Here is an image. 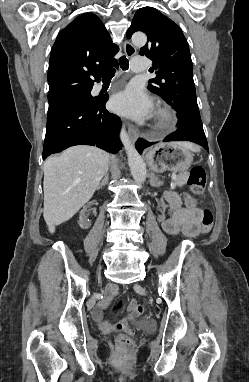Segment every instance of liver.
<instances>
[{
    "mask_svg": "<svg viewBox=\"0 0 249 382\" xmlns=\"http://www.w3.org/2000/svg\"><path fill=\"white\" fill-rule=\"evenodd\" d=\"M189 149L190 143L182 142ZM109 155L93 146L77 145L49 157L44 169V220L50 233L71 219L95 193L107 173Z\"/></svg>",
    "mask_w": 249,
    "mask_h": 382,
    "instance_id": "6515ba94",
    "label": "liver"
}]
</instances>
